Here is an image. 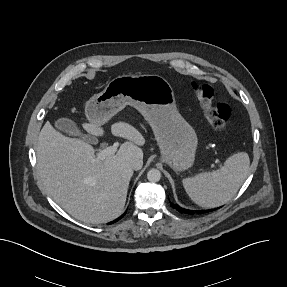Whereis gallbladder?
Returning <instances> with one entry per match:
<instances>
[{"label": "gallbladder", "mask_w": 287, "mask_h": 287, "mask_svg": "<svg viewBox=\"0 0 287 287\" xmlns=\"http://www.w3.org/2000/svg\"><path fill=\"white\" fill-rule=\"evenodd\" d=\"M55 127L71 136H76L90 143H94V139L84 135L77 124L69 118H59L55 121Z\"/></svg>", "instance_id": "obj_1"}]
</instances>
